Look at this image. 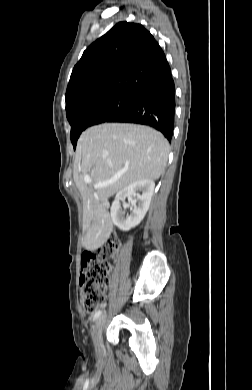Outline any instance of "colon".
<instances>
[{"mask_svg":"<svg viewBox=\"0 0 252 390\" xmlns=\"http://www.w3.org/2000/svg\"><path fill=\"white\" fill-rule=\"evenodd\" d=\"M120 241L112 235L96 253H87L81 262L80 287L83 308L88 314H95L103 302V294L109 284L107 260L119 251Z\"/></svg>","mask_w":252,"mask_h":390,"instance_id":"5ec220e1","label":"colon"}]
</instances>
